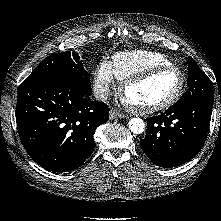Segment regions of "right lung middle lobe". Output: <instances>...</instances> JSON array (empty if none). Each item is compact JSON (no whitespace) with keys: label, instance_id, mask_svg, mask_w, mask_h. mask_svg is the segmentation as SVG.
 Here are the masks:
<instances>
[{"label":"right lung middle lobe","instance_id":"1","mask_svg":"<svg viewBox=\"0 0 221 221\" xmlns=\"http://www.w3.org/2000/svg\"><path fill=\"white\" fill-rule=\"evenodd\" d=\"M61 79L80 85L91 91L89 74L83 68L82 61L76 52L57 53L44 59L23 82L24 84L46 80Z\"/></svg>","mask_w":221,"mask_h":221}]
</instances>
